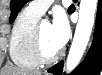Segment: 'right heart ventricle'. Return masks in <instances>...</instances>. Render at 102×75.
Wrapping results in <instances>:
<instances>
[{
	"label": "right heart ventricle",
	"mask_w": 102,
	"mask_h": 75,
	"mask_svg": "<svg viewBox=\"0 0 102 75\" xmlns=\"http://www.w3.org/2000/svg\"><path fill=\"white\" fill-rule=\"evenodd\" d=\"M41 15L24 8L17 15L9 44V52L12 61L22 68H35L38 62L32 52V37L34 29Z\"/></svg>",
	"instance_id": "obj_1"
}]
</instances>
